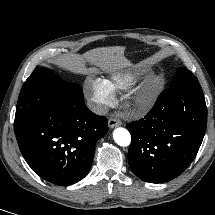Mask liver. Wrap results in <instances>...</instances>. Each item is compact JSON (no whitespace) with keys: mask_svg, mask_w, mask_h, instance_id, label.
Listing matches in <instances>:
<instances>
[{"mask_svg":"<svg viewBox=\"0 0 215 215\" xmlns=\"http://www.w3.org/2000/svg\"><path fill=\"white\" fill-rule=\"evenodd\" d=\"M124 52L125 48L121 46L95 48L73 59L59 60L57 63L74 72H81L86 62L98 66L104 72H115L130 66Z\"/></svg>","mask_w":215,"mask_h":215,"instance_id":"obj_1","label":"liver"}]
</instances>
